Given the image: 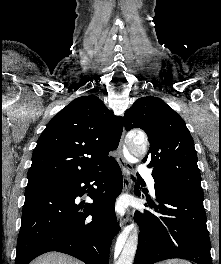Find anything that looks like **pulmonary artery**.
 <instances>
[{
  "label": "pulmonary artery",
  "mask_w": 221,
  "mask_h": 264,
  "mask_svg": "<svg viewBox=\"0 0 221 264\" xmlns=\"http://www.w3.org/2000/svg\"><path fill=\"white\" fill-rule=\"evenodd\" d=\"M141 175L147 180L149 189L151 193L154 195L155 194V181L150 173V171L146 168H142L140 170Z\"/></svg>",
  "instance_id": "pulmonary-artery-1"
}]
</instances>
